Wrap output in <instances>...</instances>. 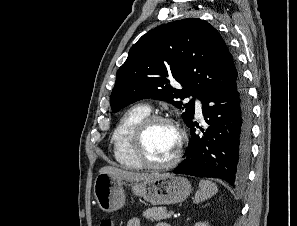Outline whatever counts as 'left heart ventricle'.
I'll use <instances>...</instances> for the list:
<instances>
[{
    "label": "left heart ventricle",
    "mask_w": 297,
    "mask_h": 226,
    "mask_svg": "<svg viewBox=\"0 0 297 226\" xmlns=\"http://www.w3.org/2000/svg\"><path fill=\"white\" fill-rule=\"evenodd\" d=\"M178 144V133L165 122L150 126L144 138V152L155 163L166 162L172 158Z\"/></svg>",
    "instance_id": "obj_1"
}]
</instances>
